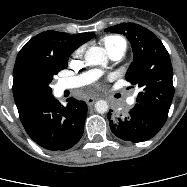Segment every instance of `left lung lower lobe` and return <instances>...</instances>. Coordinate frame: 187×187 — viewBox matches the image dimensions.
<instances>
[{
    "instance_id": "1",
    "label": "left lung lower lobe",
    "mask_w": 187,
    "mask_h": 187,
    "mask_svg": "<svg viewBox=\"0 0 187 187\" xmlns=\"http://www.w3.org/2000/svg\"><path fill=\"white\" fill-rule=\"evenodd\" d=\"M167 115L137 103L124 119L114 120L111 112L108 120L111 131L118 138L133 143L146 141L155 136L166 122Z\"/></svg>"
}]
</instances>
